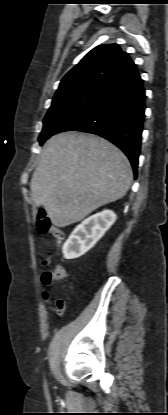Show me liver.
I'll return each instance as SVG.
<instances>
[{"label": "liver", "mask_w": 168, "mask_h": 415, "mask_svg": "<svg viewBox=\"0 0 168 415\" xmlns=\"http://www.w3.org/2000/svg\"><path fill=\"white\" fill-rule=\"evenodd\" d=\"M132 179L129 160L115 145L93 134L65 132L46 142L32 176L31 196L51 223L62 228L121 199Z\"/></svg>", "instance_id": "1"}]
</instances>
